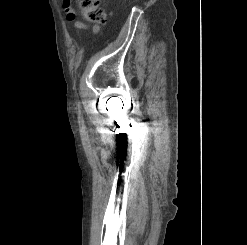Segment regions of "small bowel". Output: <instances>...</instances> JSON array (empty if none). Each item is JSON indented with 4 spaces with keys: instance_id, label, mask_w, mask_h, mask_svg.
<instances>
[{
    "instance_id": "obj_1",
    "label": "small bowel",
    "mask_w": 247,
    "mask_h": 245,
    "mask_svg": "<svg viewBox=\"0 0 247 245\" xmlns=\"http://www.w3.org/2000/svg\"><path fill=\"white\" fill-rule=\"evenodd\" d=\"M63 6L66 12V17L68 20L74 21V27L81 30H92L95 34L99 32V26L95 25L90 27L89 25L75 20V13L71 8V0H63Z\"/></svg>"
}]
</instances>
